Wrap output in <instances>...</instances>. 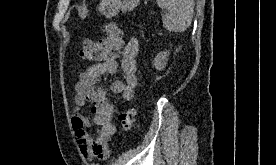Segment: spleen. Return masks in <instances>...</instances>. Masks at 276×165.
I'll list each match as a JSON object with an SVG mask.
<instances>
[{"label":"spleen","mask_w":276,"mask_h":165,"mask_svg":"<svg viewBox=\"0 0 276 165\" xmlns=\"http://www.w3.org/2000/svg\"><path fill=\"white\" fill-rule=\"evenodd\" d=\"M160 8L168 13L163 15V26L170 32H184L190 25L194 14L193 0H156Z\"/></svg>","instance_id":"3e777b00"}]
</instances>
